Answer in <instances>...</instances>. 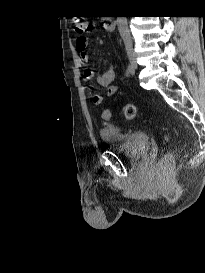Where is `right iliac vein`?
<instances>
[{"instance_id":"1","label":"right iliac vein","mask_w":205,"mask_h":273,"mask_svg":"<svg viewBox=\"0 0 205 273\" xmlns=\"http://www.w3.org/2000/svg\"><path fill=\"white\" fill-rule=\"evenodd\" d=\"M127 56H128V59L130 61V64L132 65V67L134 69H137V63H136V60H135V54L132 50H128L127 51Z\"/></svg>"}]
</instances>
